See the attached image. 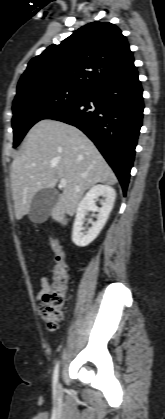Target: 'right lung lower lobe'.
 <instances>
[{"label":"right lung lower lobe","instance_id":"98d812e1","mask_svg":"<svg viewBox=\"0 0 165 419\" xmlns=\"http://www.w3.org/2000/svg\"><path fill=\"white\" fill-rule=\"evenodd\" d=\"M134 64L86 92L78 102L45 116L76 126L97 146L126 192L143 117Z\"/></svg>","mask_w":165,"mask_h":419}]
</instances>
